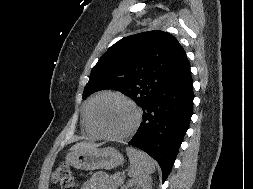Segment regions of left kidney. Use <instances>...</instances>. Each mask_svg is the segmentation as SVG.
<instances>
[{
    "label": "left kidney",
    "mask_w": 253,
    "mask_h": 189,
    "mask_svg": "<svg viewBox=\"0 0 253 189\" xmlns=\"http://www.w3.org/2000/svg\"><path fill=\"white\" fill-rule=\"evenodd\" d=\"M152 189V180L150 177L136 178L129 180L121 189Z\"/></svg>",
    "instance_id": "1"
}]
</instances>
